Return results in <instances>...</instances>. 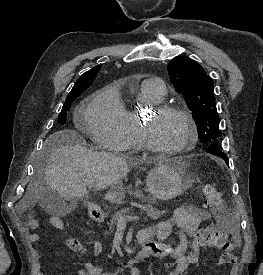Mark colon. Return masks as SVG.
Listing matches in <instances>:
<instances>
[{"label":"colon","mask_w":263,"mask_h":275,"mask_svg":"<svg viewBox=\"0 0 263 275\" xmlns=\"http://www.w3.org/2000/svg\"><path fill=\"white\" fill-rule=\"evenodd\" d=\"M202 195L208 207L218 209L223 205V197L219 190L212 184L202 186ZM55 227L59 225V219L54 221ZM200 239L205 246L216 247L222 250L218 259L221 266L233 265L236 256L233 253V245L228 241L226 233L216 226H208L201 231Z\"/></svg>","instance_id":"obj_1"}]
</instances>
